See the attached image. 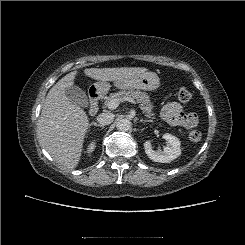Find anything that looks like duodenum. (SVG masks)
I'll return each instance as SVG.
<instances>
[{
	"label": "duodenum",
	"mask_w": 245,
	"mask_h": 245,
	"mask_svg": "<svg viewBox=\"0 0 245 245\" xmlns=\"http://www.w3.org/2000/svg\"><path fill=\"white\" fill-rule=\"evenodd\" d=\"M100 95L96 91H92L90 93V106L89 111L92 115H96L99 111V104H100Z\"/></svg>",
	"instance_id": "obj_1"
}]
</instances>
